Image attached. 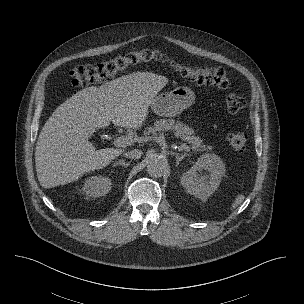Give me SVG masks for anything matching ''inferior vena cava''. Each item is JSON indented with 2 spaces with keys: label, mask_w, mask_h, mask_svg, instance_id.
I'll return each instance as SVG.
<instances>
[{
  "label": "inferior vena cava",
  "mask_w": 304,
  "mask_h": 304,
  "mask_svg": "<svg viewBox=\"0 0 304 304\" xmlns=\"http://www.w3.org/2000/svg\"><path fill=\"white\" fill-rule=\"evenodd\" d=\"M123 155L125 157L131 158V159H140L142 156V151L138 150V149H134V150L125 152Z\"/></svg>",
  "instance_id": "1"
}]
</instances>
